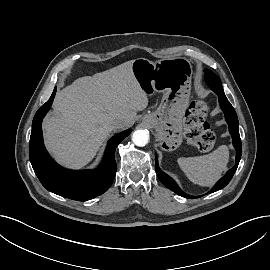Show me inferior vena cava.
Masks as SVG:
<instances>
[{
  "label": "inferior vena cava",
  "instance_id": "602c4592",
  "mask_svg": "<svg viewBox=\"0 0 270 270\" xmlns=\"http://www.w3.org/2000/svg\"><path fill=\"white\" fill-rule=\"evenodd\" d=\"M111 126L114 129L122 128L124 126V121L122 119H115L111 122Z\"/></svg>",
  "mask_w": 270,
  "mask_h": 270
}]
</instances>
